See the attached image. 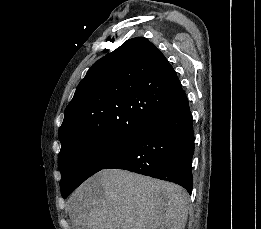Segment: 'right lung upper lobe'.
<instances>
[{
  "label": "right lung upper lobe",
  "mask_w": 261,
  "mask_h": 229,
  "mask_svg": "<svg viewBox=\"0 0 261 229\" xmlns=\"http://www.w3.org/2000/svg\"><path fill=\"white\" fill-rule=\"evenodd\" d=\"M161 51L144 37L92 65L65 109L61 146L80 138L133 140L181 91Z\"/></svg>",
  "instance_id": "right-lung-upper-lobe-1"
}]
</instances>
